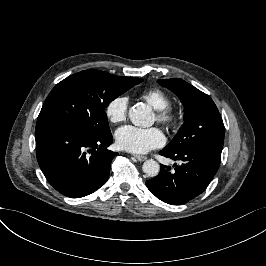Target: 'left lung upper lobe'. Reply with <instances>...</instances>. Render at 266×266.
<instances>
[{"label":"left lung upper lobe","instance_id":"obj_1","mask_svg":"<svg viewBox=\"0 0 266 266\" xmlns=\"http://www.w3.org/2000/svg\"><path fill=\"white\" fill-rule=\"evenodd\" d=\"M157 82L175 93L184 106V123L165 149L179 151L195 145L223 148L224 124L213 100L182 79Z\"/></svg>","mask_w":266,"mask_h":266}]
</instances>
